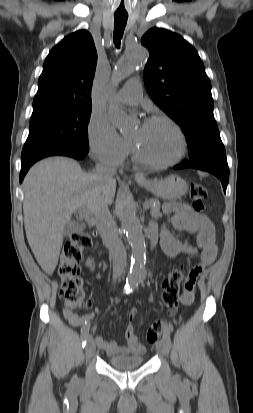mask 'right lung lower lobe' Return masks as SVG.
<instances>
[{"mask_svg":"<svg viewBox=\"0 0 253 413\" xmlns=\"http://www.w3.org/2000/svg\"><path fill=\"white\" fill-rule=\"evenodd\" d=\"M88 152H84L81 150H76V149H59L55 151H50L34 156H29L26 158H22L21 160V172H20V182L23 181L24 176L26 175L27 171L31 167L32 164H34L36 161L48 157V156H54V155H63V156H68L72 157L75 159H83L87 155Z\"/></svg>","mask_w":253,"mask_h":413,"instance_id":"98d812e1","label":"right lung lower lobe"}]
</instances>
